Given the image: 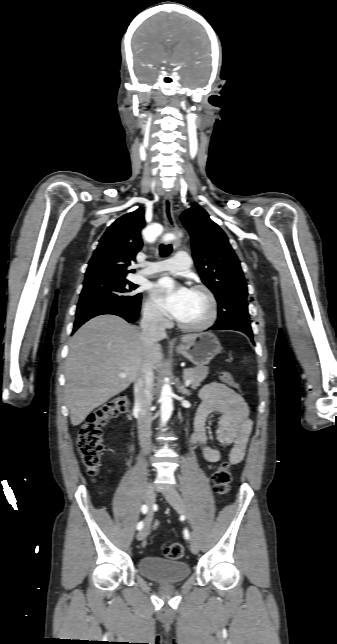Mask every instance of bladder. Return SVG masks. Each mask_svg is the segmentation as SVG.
Segmentation results:
<instances>
[{"label": "bladder", "mask_w": 337, "mask_h": 644, "mask_svg": "<svg viewBox=\"0 0 337 644\" xmlns=\"http://www.w3.org/2000/svg\"><path fill=\"white\" fill-rule=\"evenodd\" d=\"M138 569L144 577L159 583L173 584L185 580L190 575L186 562L146 556L138 562Z\"/></svg>", "instance_id": "31cf9c89"}]
</instances>
